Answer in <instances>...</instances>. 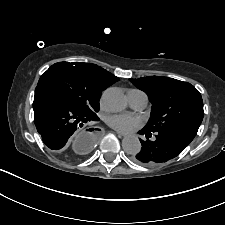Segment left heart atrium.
I'll use <instances>...</instances> for the list:
<instances>
[{"mask_svg": "<svg viewBox=\"0 0 225 225\" xmlns=\"http://www.w3.org/2000/svg\"><path fill=\"white\" fill-rule=\"evenodd\" d=\"M107 123L120 132H130L140 126L141 120L130 114H115L107 118Z\"/></svg>", "mask_w": 225, "mask_h": 225, "instance_id": "obj_1", "label": "left heart atrium"}]
</instances>
